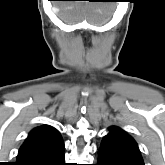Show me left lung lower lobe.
<instances>
[{
  "instance_id": "1",
  "label": "left lung lower lobe",
  "mask_w": 165,
  "mask_h": 165,
  "mask_svg": "<svg viewBox=\"0 0 165 165\" xmlns=\"http://www.w3.org/2000/svg\"><path fill=\"white\" fill-rule=\"evenodd\" d=\"M97 165H115V164L111 163L104 154H102L100 151H98Z\"/></svg>"
}]
</instances>
